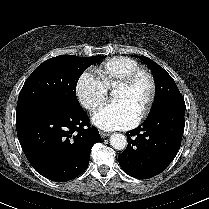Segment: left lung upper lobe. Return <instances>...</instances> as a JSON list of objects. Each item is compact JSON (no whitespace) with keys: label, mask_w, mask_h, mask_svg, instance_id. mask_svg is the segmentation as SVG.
I'll return each mask as SVG.
<instances>
[{"label":"left lung upper lobe","mask_w":209,"mask_h":209,"mask_svg":"<svg viewBox=\"0 0 209 209\" xmlns=\"http://www.w3.org/2000/svg\"><path fill=\"white\" fill-rule=\"evenodd\" d=\"M141 60L151 69L155 80V100L149 114L165 106L185 104L183 96L168 72L148 57H141Z\"/></svg>","instance_id":"5c2ea615"}]
</instances>
